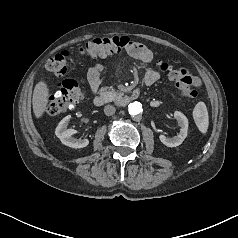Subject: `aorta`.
Instances as JSON below:
<instances>
[{
  "label": "aorta",
  "mask_w": 238,
  "mask_h": 238,
  "mask_svg": "<svg viewBox=\"0 0 238 238\" xmlns=\"http://www.w3.org/2000/svg\"><path fill=\"white\" fill-rule=\"evenodd\" d=\"M128 112L131 116L136 117L143 112L142 104L140 102H132L128 105Z\"/></svg>",
  "instance_id": "762f6f07"
}]
</instances>
